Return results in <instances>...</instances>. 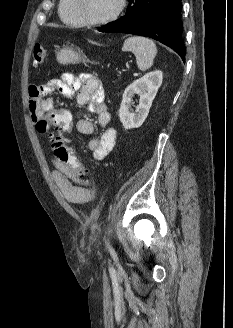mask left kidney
<instances>
[{"mask_svg": "<svg viewBox=\"0 0 233 328\" xmlns=\"http://www.w3.org/2000/svg\"><path fill=\"white\" fill-rule=\"evenodd\" d=\"M162 80V71L155 70L135 80L125 89L119 109V118L125 129L138 128L144 123ZM135 94L140 98L136 112H133L131 105Z\"/></svg>", "mask_w": 233, "mask_h": 328, "instance_id": "left-kidney-1", "label": "left kidney"}]
</instances>
